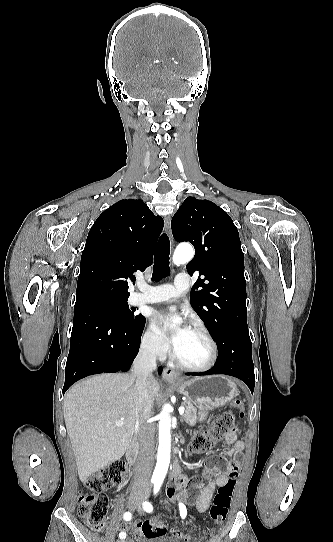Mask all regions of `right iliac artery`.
<instances>
[{
	"label": "right iliac artery",
	"mask_w": 333,
	"mask_h": 542,
	"mask_svg": "<svg viewBox=\"0 0 333 542\" xmlns=\"http://www.w3.org/2000/svg\"><path fill=\"white\" fill-rule=\"evenodd\" d=\"M131 517H132V515H131L130 512H126V513L124 514V516H123V518H124L126 521L130 520ZM119 537L122 538V539H124V538L126 537V533L121 532V533L119 534Z\"/></svg>",
	"instance_id": "obj_1"
}]
</instances>
